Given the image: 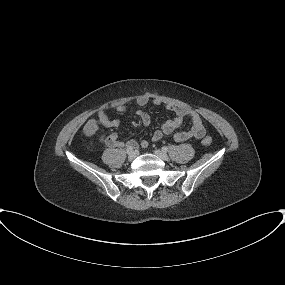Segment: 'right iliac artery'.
<instances>
[{
    "label": "right iliac artery",
    "mask_w": 285,
    "mask_h": 285,
    "mask_svg": "<svg viewBox=\"0 0 285 285\" xmlns=\"http://www.w3.org/2000/svg\"><path fill=\"white\" fill-rule=\"evenodd\" d=\"M132 151H133V148L130 147V146H127V153H130V152H132Z\"/></svg>",
    "instance_id": "1"
}]
</instances>
